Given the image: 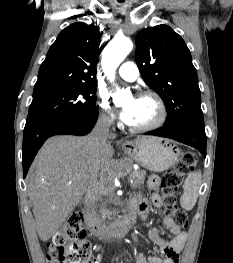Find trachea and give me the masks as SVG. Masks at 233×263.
<instances>
[{
  "label": "trachea",
  "instance_id": "1",
  "mask_svg": "<svg viewBox=\"0 0 233 263\" xmlns=\"http://www.w3.org/2000/svg\"><path fill=\"white\" fill-rule=\"evenodd\" d=\"M118 1L122 3L124 0H118Z\"/></svg>",
  "mask_w": 233,
  "mask_h": 263
}]
</instances>
